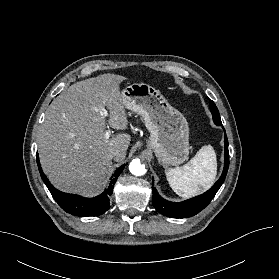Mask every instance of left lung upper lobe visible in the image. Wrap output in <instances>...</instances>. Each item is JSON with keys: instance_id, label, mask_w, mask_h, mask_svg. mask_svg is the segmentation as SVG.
<instances>
[{"instance_id": "5c2ea615", "label": "left lung upper lobe", "mask_w": 279, "mask_h": 279, "mask_svg": "<svg viewBox=\"0 0 279 279\" xmlns=\"http://www.w3.org/2000/svg\"><path fill=\"white\" fill-rule=\"evenodd\" d=\"M210 110L212 112V116H213V121L216 125H221L222 122H221V118H220V115H219V111L216 107V105L214 104L213 101H210Z\"/></svg>"}]
</instances>
